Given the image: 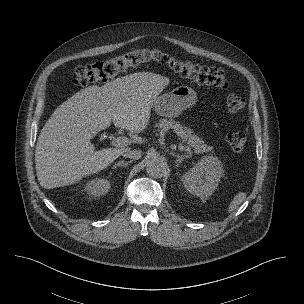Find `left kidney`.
<instances>
[{
    "label": "left kidney",
    "instance_id": "left-kidney-1",
    "mask_svg": "<svg viewBox=\"0 0 304 304\" xmlns=\"http://www.w3.org/2000/svg\"><path fill=\"white\" fill-rule=\"evenodd\" d=\"M222 175L220 160L212 156L204 157L182 176L181 181L187 191L205 200L217 188Z\"/></svg>",
    "mask_w": 304,
    "mask_h": 304
}]
</instances>
